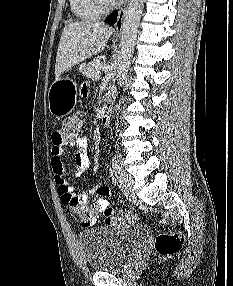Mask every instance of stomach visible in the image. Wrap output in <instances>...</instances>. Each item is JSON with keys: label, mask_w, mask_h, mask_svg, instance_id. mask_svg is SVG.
I'll use <instances>...</instances> for the list:
<instances>
[{"label": "stomach", "mask_w": 233, "mask_h": 286, "mask_svg": "<svg viewBox=\"0 0 233 286\" xmlns=\"http://www.w3.org/2000/svg\"><path fill=\"white\" fill-rule=\"evenodd\" d=\"M76 92L72 83L58 78L48 91L49 110L55 117H63L71 112L76 101Z\"/></svg>", "instance_id": "1"}]
</instances>
